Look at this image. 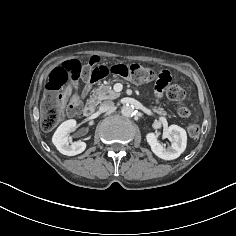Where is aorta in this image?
Returning a JSON list of instances; mask_svg holds the SVG:
<instances>
[{
  "label": "aorta",
  "mask_w": 236,
  "mask_h": 236,
  "mask_svg": "<svg viewBox=\"0 0 236 236\" xmlns=\"http://www.w3.org/2000/svg\"><path fill=\"white\" fill-rule=\"evenodd\" d=\"M121 113L123 116L125 117H130L133 115L134 113V108L131 106V105H124L122 108H121Z\"/></svg>",
  "instance_id": "1"
}]
</instances>
